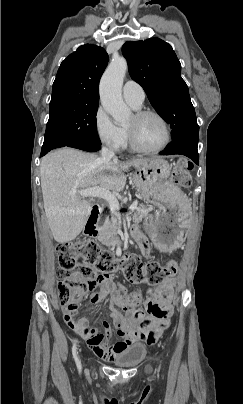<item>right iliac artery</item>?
<instances>
[{
	"mask_svg": "<svg viewBox=\"0 0 243 404\" xmlns=\"http://www.w3.org/2000/svg\"><path fill=\"white\" fill-rule=\"evenodd\" d=\"M76 342H77V341H75V343H74V345H73L72 354H73V358H74V360H75V362H76L78 371L81 372V362H80V360H79V356H78V353H77Z\"/></svg>",
	"mask_w": 243,
	"mask_h": 404,
	"instance_id": "1",
	"label": "right iliac artery"
}]
</instances>
